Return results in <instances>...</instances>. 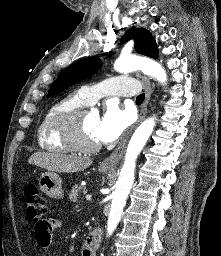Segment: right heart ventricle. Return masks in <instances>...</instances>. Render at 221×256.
<instances>
[{
    "label": "right heart ventricle",
    "instance_id": "1",
    "mask_svg": "<svg viewBox=\"0 0 221 256\" xmlns=\"http://www.w3.org/2000/svg\"><path fill=\"white\" fill-rule=\"evenodd\" d=\"M80 91L67 94L45 113L37 132L39 146L47 151L68 153L74 149L63 134V127L69 117L78 109L87 106Z\"/></svg>",
    "mask_w": 221,
    "mask_h": 256
}]
</instances>
